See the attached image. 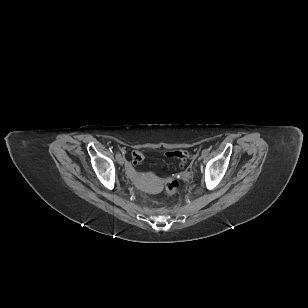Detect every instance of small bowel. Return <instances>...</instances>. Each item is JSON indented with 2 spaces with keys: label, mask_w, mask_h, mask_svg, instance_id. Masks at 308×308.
<instances>
[{
  "label": "small bowel",
  "mask_w": 308,
  "mask_h": 308,
  "mask_svg": "<svg viewBox=\"0 0 308 308\" xmlns=\"http://www.w3.org/2000/svg\"><path fill=\"white\" fill-rule=\"evenodd\" d=\"M127 169H128V171H129L130 173H133V172H134V169H133V167H132V165H131L130 163L127 165Z\"/></svg>",
  "instance_id": "small-bowel-1"
}]
</instances>
